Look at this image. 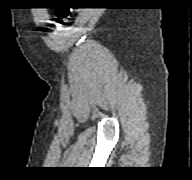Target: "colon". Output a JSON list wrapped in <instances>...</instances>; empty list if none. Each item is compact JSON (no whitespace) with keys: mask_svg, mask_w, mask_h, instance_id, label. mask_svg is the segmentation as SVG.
I'll return each mask as SVG.
<instances>
[{"mask_svg":"<svg viewBox=\"0 0 192 180\" xmlns=\"http://www.w3.org/2000/svg\"><path fill=\"white\" fill-rule=\"evenodd\" d=\"M71 17L70 9H59L57 12V21L60 23L67 22Z\"/></svg>","mask_w":192,"mask_h":180,"instance_id":"5ec220e1","label":"colon"}]
</instances>
